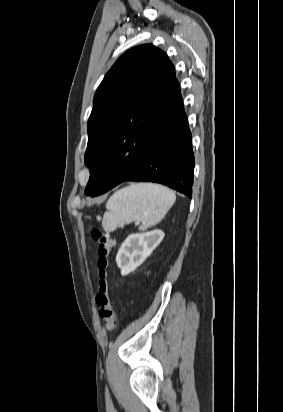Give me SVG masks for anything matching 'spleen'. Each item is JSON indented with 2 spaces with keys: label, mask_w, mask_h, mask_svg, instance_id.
I'll list each match as a JSON object with an SVG mask.
<instances>
[{
  "label": "spleen",
  "mask_w": 283,
  "mask_h": 412,
  "mask_svg": "<svg viewBox=\"0 0 283 412\" xmlns=\"http://www.w3.org/2000/svg\"><path fill=\"white\" fill-rule=\"evenodd\" d=\"M175 193L154 183L131 184L116 191L107 201L102 226L106 232L135 222L144 231L159 223L175 203Z\"/></svg>",
  "instance_id": "obj_1"
}]
</instances>
